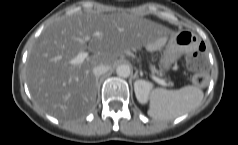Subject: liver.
Instances as JSON below:
<instances>
[{"label": "liver", "instance_id": "obj_1", "mask_svg": "<svg viewBox=\"0 0 238 145\" xmlns=\"http://www.w3.org/2000/svg\"><path fill=\"white\" fill-rule=\"evenodd\" d=\"M168 31L127 13L78 11L57 18L44 29L28 55L26 76L31 96L55 118L83 116L96 101L93 68L111 67L129 50L147 46ZM86 50L93 55L81 64H69Z\"/></svg>", "mask_w": 238, "mask_h": 145}]
</instances>
